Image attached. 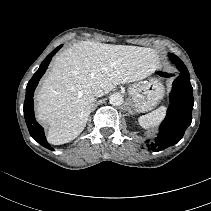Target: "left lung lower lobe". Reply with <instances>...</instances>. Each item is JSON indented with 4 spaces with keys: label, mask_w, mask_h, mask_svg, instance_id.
Here are the masks:
<instances>
[{
    "label": "left lung lower lobe",
    "mask_w": 211,
    "mask_h": 211,
    "mask_svg": "<svg viewBox=\"0 0 211 211\" xmlns=\"http://www.w3.org/2000/svg\"><path fill=\"white\" fill-rule=\"evenodd\" d=\"M180 75L174 80L167 115L154 140H146L152 151H161L178 143L192 121L193 89L186 66H177Z\"/></svg>",
    "instance_id": "obj_1"
}]
</instances>
